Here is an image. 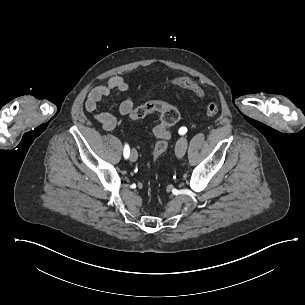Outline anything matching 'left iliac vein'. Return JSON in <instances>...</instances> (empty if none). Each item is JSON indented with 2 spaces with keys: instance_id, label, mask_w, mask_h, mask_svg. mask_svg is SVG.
<instances>
[{
  "instance_id": "4c4485c4",
  "label": "left iliac vein",
  "mask_w": 305,
  "mask_h": 305,
  "mask_svg": "<svg viewBox=\"0 0 305 305\" xmlns=\"http://www.w3.org/2000/svg\"><path fill=\"white\" fill-rule=\"evenodd\" d=\"M187 145H188V142L185 137L179 138L178 141L176 142L175 149H176V154L179 158L185 154Z\"/></svg>"
}]
</instances>
